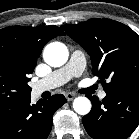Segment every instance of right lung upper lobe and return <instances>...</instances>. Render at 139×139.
Here are the masks:
<instances>
[{"instance_id": "1", "label": "right lung upper lobe", "mask_w": 139, "mask_h": 139, "mask_svg": "<svg viewBox=\"0 0 139 139\" xmlns=\"http://www.w3.org/2000/svg\"><path fill=\"white\" fill-rule=\"evenodd\" d=\"M59 35L65 34L55 25L6 27L0 30V54L18 60L25 71L31 74L44 45Z\"/></svg>"}]
</instances>
